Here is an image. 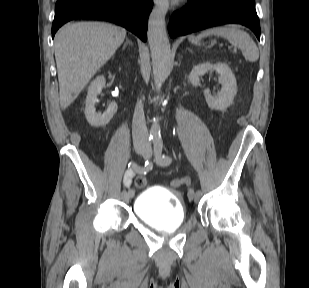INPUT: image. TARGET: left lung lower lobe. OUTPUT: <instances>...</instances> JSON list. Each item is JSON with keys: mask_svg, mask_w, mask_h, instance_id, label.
<instances>
[{"mask_svg": "<svg viewBox=\"0 0 309 288\" xmlns=\"http://www.w3.org/2000/svg\"><path fill=\"white\" fill-rule=\"evenodd\" d=\"M228 23L247 26L260 40L254 0H189L185 8L173 13L168 30L176 37Z\"/></svg>", "mask_w": 309, "mask_h": 288, "instance_id": "left-lung-lower-lobe-1", "label": "left lung lower lobe"}]
</instances>
